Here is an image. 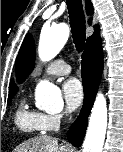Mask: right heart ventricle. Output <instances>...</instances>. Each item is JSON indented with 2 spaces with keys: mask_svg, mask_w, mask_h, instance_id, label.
<instances>
[{
  "mask_svg": "<svg viewBox=\"0 0 123 152\" xmlns=\"http://www.w3.org/2000/svg\"><path fill=\"white\" fill-rule=\"evenodd\" d=\"M41 114L36 111L29 110L25 101L21 102L15 113L16 126L28 133H43L44 129L41 123Z\"/></svg>",
  "mask_w": 123,
  "mask_h": 152,
  "instance_id": "e07e8e85",
  "label": "right heart ventricle"
}]
</instances>
